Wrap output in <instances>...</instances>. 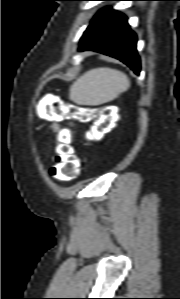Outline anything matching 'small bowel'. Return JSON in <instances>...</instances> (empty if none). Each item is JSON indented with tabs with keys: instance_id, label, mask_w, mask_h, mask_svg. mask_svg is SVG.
I'll list each match as a JSON object with an SVG mask.
<instances>
[{
	"instance_id": "obj_1",
	"label": "small bowel",
	"mask_w": 180,
	"mask_h": 299,
	"mask_svg": "<svg viewBox=\"0 0 180 299\" xmlns=\"http://www.w3.org/2000/svg\"><path fill=\"white\" fill-rule=\"evenodd\" d=\"M52 129H53L55 132H59V131L61 130V127H60V125H59L57 122H55V123H53V125H52Z\"/></svg>"
}]
</instances>
